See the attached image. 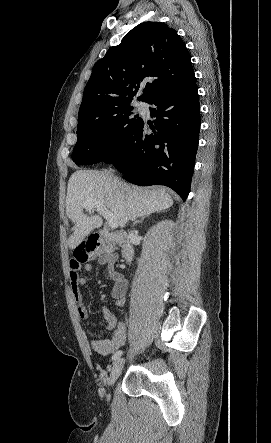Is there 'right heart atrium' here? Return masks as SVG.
<instances>
[{
  "instance_id": "d8ad5b80",
  "label": "right heart atrium",
  "mask_w": 271,
  "mask_h": 443,
  "mask_svg": "<svg viewBox=\"0 0 271 443\" xmlns=\"http://www.w3.org/2000/svg\"><path fill=\"white\" fill-rule=\"evenodd\" d=\"M115 135V131L113 128L108 129V131L106 132V138L108 140H111Z\"/></svg>"
}]
</instances>
